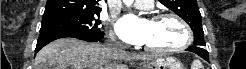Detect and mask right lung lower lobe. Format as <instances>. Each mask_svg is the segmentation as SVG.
Masks as SVG:
<instances>
[{
    "instance_id": "98d812e1",
    "label": "right lung lower lobe",
    "mask_w": 246,
    "mask_h": 69,
    "mask_svg": "<svg viewBox=\"0 0 246 69\" xmlns=\"http://www.w3.org/2000/svg\"><path fill=\"white\" fill-rule=\"evenodd\" d=\"M103 36H104L103 32L99 34H95V35L79 34V33L70 32V31L44 32V33H40L39 35L35 52L37 53L45 45L59 38L73 37V38H77V39H81V40H85L89 42H94V41H100L103 38Z\"/></svg>"
}]
</instances>
